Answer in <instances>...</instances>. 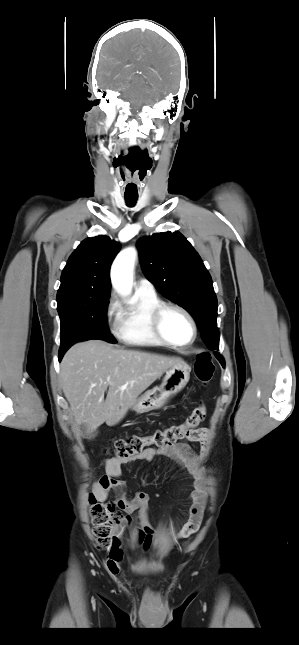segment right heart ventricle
I'll return each mask as SVG.
<instances>
[{
	"label": "right heart ventricle",
	"instance_id": "e07e8e85",
	"mask_svg": "<svg viewBox=\"0 0 299 645\" xmlns=\"http://www.w3.org/2000/svg\"><path fill=\"white\" fill-rule=\"evenodd\" d=\"M160 303L162 301L156 293L135 291L132 302L119 311L116 323L117 337L131 346H163L151 326V314Z\"/></svg>",
	"mask_w": 299,
	"mask_h": 645
}]
</instances>
